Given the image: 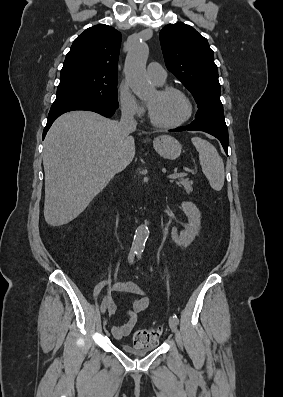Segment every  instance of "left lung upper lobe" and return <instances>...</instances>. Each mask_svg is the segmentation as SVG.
Returning a JSON list of instances; mask_svg holds the SVG:
<instances>
[{
    "label": "left lung upper lobe",
    "mask_w": 283,
    "mask_h": 397,
    "mask_svg": "<svg viewBox=\"0 0 283 397\" xmlns=\"http://www.w3.org/2000/svg\"><path fill=\"white\" fill-rule=\"evenodd\" d=\"M167 69L193 94L198 118L224 120L218 68L206 38L184 23L166 25L160 31Z\"/></svg>",
    "instance_id": "5c2ea615"
}]
</instances>
